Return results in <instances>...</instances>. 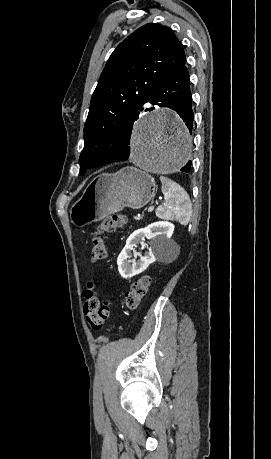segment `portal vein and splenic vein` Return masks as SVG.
Returning a JSON list of instances; mask_svg holds the SVG:
<instances>
[{
  "label": "portal vein and splenic vein",
  "instance_id": "18ae733b",
  "mask_svg": "<svg viewBox=\"0 0 271 459\" xmlns=\"http://www.w3.org/2000/svg\"><path fill=\"white\" fill-rule=\"evenodd\" d=\"M152 210H154V206H151V208H149V212H152Z\"/></svg>",
  "mask_w": 271,
  "mask_h": 459
}]
</instances>
